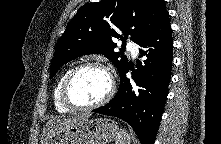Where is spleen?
I'll use <instances>...</instances> for the list:
<instances>
[{
    "label": "spleen",
    "instance_id": "spleen-1",
    "mask_svg": "<svg viewBox=\"0 0 221 144\" xmlns=\"http://www.w3.org/2000/svg\"><path fill=\"white\" fill-rule=\"evenodd\" d=\"M130 143H131L130 135L125 130H121L117 135L116 144H130Z\"/></svg>",
    "mask_w": 221,
    "mask_h": 144
}]
</instances>
